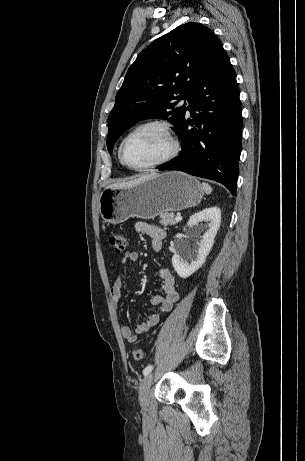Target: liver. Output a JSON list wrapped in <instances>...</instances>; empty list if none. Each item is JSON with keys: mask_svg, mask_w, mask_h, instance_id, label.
Wrapping results in <instances>:
<instances>
[{"mask_svg": "<svg viewBox=\"0 0 305 461\" xmlns=\"http://www.w3.org/2000/svg\"><path fill=\"white\" fill-rule=\"evenodd\" d=\"M156 174H150V175H146V176H141L137 179H134V180H130L128 182H118V183H114V184H111V185H108L105 189H109V188H128V187H132L140 182H143L144 180L152 177V176H155Z\"/></svg>", "mask_w": 305, "mask_h": 461, "instance_id": "6515ba94", "label": "liver"}]
</instances>
